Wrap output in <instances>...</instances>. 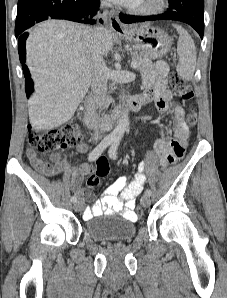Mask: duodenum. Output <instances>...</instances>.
Listing matches in <instances>:
<instances>
[{
  "label": "duodenum",
  "instance_id": "duodenum-1",
  "mask_svg": "<svg viewBox=\"0 0 227 298\" xmlns=\"http://www.w3.org/2000/svg\"><path fill=\"white\" fill-rule=\"evenodd\" d=\"M144 100L140 95L133 97L127 103L116 108L110 115L105 118L98 117L94 102L89 99L86 102L84 122L90 129H103L107 130L111 127L112 123L123 116L128 111H138L144 105Z\"/></svg>",
  "mask_w": 227,
  "mask_h": 298
}]
</instances>
